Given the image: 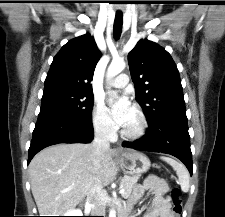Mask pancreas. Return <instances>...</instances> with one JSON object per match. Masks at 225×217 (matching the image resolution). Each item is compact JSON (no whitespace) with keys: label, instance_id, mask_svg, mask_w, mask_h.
Listing matches in <instances>:
<instances>
[{"label":"pancreas","instance_id":"1","mask_svg":"<svg viewBox=\"0 0 225 217\" xmlns=\"http://www.w3.org/2000/svg\"><path fill=\"white\" fill-rule=\"evenodd\" d=\"M138 179H139V175L124 176L121 179L120 186L125 189V192L122 193L123 198H128L131 195L132 189L135 186V184L137 183ZM167 191L168 190H165V192H167Z\"/></svg>","mask_w":225,"mask_h":217}]
</instances>
